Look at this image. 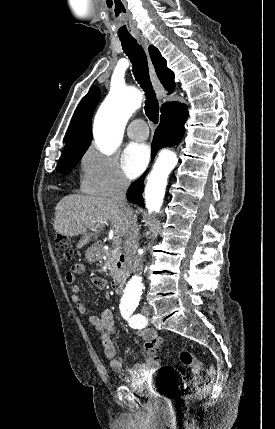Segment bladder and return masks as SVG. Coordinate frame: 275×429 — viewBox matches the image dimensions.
I'll list each match as a JSON object with an SVG mask.
<instances>
[{
	"mask_svg": "<svg viewBox=\"0 0 275 429\" xmlns=\"http://www.w3.org/2000/svg\"><path fill=\"white\" fill-rule=\"evenodd\" d=\"M176 377L130 378V393L148 398V403H179Z\"/></svg>",
	"mask_w": 275,
	"mask_h": 429,
	"instance_id": "1",
	"label": "bladder"
}]
</instances>
